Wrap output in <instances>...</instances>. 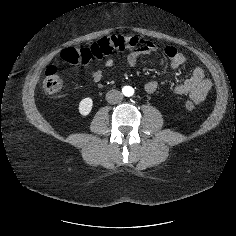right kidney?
Listing matches in <instances>:
<instances>
[{
  "mask_svg": "<svg viewBox=\"0 0 236 236\" xmlns=\"http://www.w3.org/2000/svg\"><path fill=\"white\" fill-rule=\"evenodd\" d=\"M92 106H93V100L90 97H86L84 99H82L79 103V113L82 116H87L91 110H92Z\"/></svg>",
  "mask_w": 236,
  "mask_h": 236,
  "instance_id": "ca27d5eb",
  "label": "right kidney"
}]
</instances>
